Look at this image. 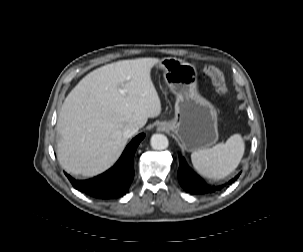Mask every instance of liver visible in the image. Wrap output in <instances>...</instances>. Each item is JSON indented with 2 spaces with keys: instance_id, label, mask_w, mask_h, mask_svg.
<instances>
[{
  "instance_id": "6515ba94",
  "label": "liver",
  "mask_w": 303,
  "mask_h": 252,
  "mask_svg": "<svg viewBox=\"0 0 303 252\" xmlns=\"http://www.w3.org/2000/svg\"><path fill=\"white\" fill-rule=\"evenodd\" d=\"M158 58L122 60L87 74L68 94L57 121V157L72 175L91 177L110 168L127 138L125 125L142 128L161 113L151 79ZM124 91V94L121 93Z\"/></svg>"
}]
</instances>
